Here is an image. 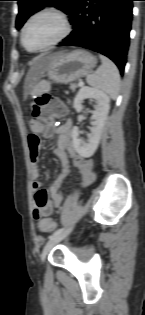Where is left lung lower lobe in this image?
I'll return each instance as SVG.
<instances>
[{
  "mask_svg": "<svg viewBox=\"0 0 145 315\" xmlns=\"http://www.w3.org/2000/svg\"><path fill=\"white\" fill-rule=\"evenodd\" d=\"M134 0H78L70 15L73 31L60 46H80L110 58L124 73Z\"/></svg>",
  "mask_w": 145,
  "mask_h": 315,
  "instance_id": "0a47b994",
  "label": "left lung lower lobe"
}]
</instances>
